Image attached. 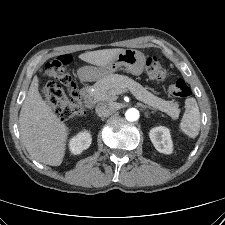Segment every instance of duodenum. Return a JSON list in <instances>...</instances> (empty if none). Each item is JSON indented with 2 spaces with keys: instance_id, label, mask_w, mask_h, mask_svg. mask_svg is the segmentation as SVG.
Returning <instances> with one entry per match:
<instances>
[{
  "instance_id": "1",
  "label": "duodenum",
  "mask_w": 225,
  "mask_h": 225,
  "mask_svg": "<svg viewBox=\"0 0 225 225\" xmlns=\"http://www.w3.org/2000/svg\"><path fill=\"white\" fill-rule=\"evenodd\" d=\"M81 98L87 108H91L93 106L94 100L88 92L84 91L81 95Z\"/></svg>"
}]
</instances>
